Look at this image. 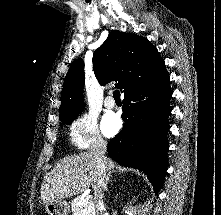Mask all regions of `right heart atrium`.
<instances>
[{
    "mask_svg": "<svg viewBox=\"0 0 221 215\" xmlns=\"http://www.w3.org/2000/svg\"><path fill=\"white\" fill-rule=\"evenodd\" d=\"M70 139L78 149H87L103 143L96 116L89 112L77 116L70 127Z\"/></svg>",
    "mask_w": 221,
    "mask_h": 215,
    "instance_id": "right-heart-atrium-1",
    "label": "right heart atrium"
}]
</instances>
